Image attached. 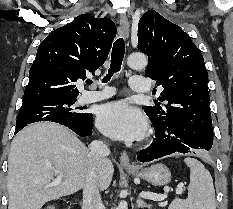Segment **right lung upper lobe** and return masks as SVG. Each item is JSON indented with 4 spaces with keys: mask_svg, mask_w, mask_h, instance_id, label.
<instances>
[{
    "mask_svg": "<svg viewBox=\"0 0 233 209\" xmlns=\"http://www.w3.org/2000/svg\"><path fill=\"white\" fill-rule=\"evenodd\" d=\"M117 28L109 18L82 14L51 32L39 45L29 71L23 103L48 98H77L75 85L108 57Z\"/></svg>",
    "mask_w": 233,
    "mask_h": 209,
    "instance_id": "cb5924a9",
    "label": "right lung upper lobe"
}]
</instances>
